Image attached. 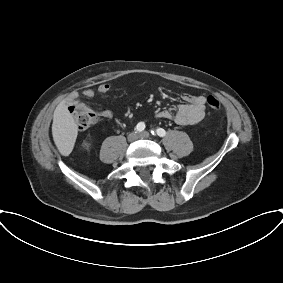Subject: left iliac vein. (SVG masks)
Segmentation results:
<instances>
[{
	"mask_svg": "<svg viewBox=\"0 0 283 283\" xmlns=\"http://www.w3.org/2000/svg\"><path fill=\"white\" fill-rule=\"evenodd\" d=\"M139 137L142 139H148L150 137V134L147 131H143L140 133Z\"/></svg>",
	"mask_w": 283,
	"mask_h": 283,
	"instance_id": "left-iliac-vein-1",
	"label": "left iliac vein"
}]
</instances>
